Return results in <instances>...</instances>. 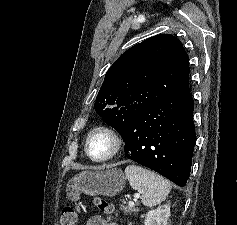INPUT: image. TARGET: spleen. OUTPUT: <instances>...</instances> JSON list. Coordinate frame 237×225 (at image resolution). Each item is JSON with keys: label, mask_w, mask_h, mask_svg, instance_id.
Segmentation results:
<instances>
[{"label": "spleen", "mask_w": 237, "mask_h": 225, "mask_svg": "<svg viewBox=\"0 0 237 225\" xmlns=\"http://www.w3.org/2000/svg\"><path fill=\"white\" fill-rule=\"evenodd\" d=\"M125 174L131 187L142 194V204L147 207L163 202L171 190L168 180L141 166L129 165L125 168Z\"/></svg>", "instance_id": "3e777b00"}]
</instances>
